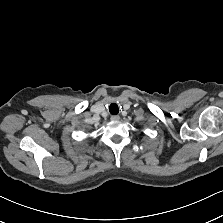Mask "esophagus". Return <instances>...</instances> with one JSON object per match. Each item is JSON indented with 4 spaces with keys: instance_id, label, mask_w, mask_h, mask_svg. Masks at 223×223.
<instances>
[{
    "instance_id": "obj_1",
    "label": "esophagus",
    "mask_w": 223,
    "mask_h": 223,
    "mask_svg": "<svg viewBox=\"0 0 223 223\" xmlns=\"http://www.w3.org/2000/svg\"><path fill=\"white\" fill-rule=\"evenodd\" d=\"M119 119H120V117L118 115L111 116L112 121H118Z\"/></svg>"
}]
</instances>
